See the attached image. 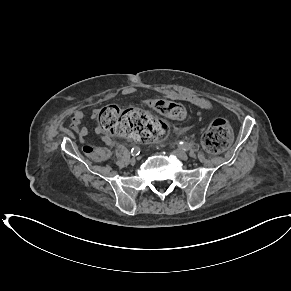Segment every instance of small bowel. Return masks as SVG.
I'll return each instance as SVG.
<instances>
[{"label":"small bowel","instance_id":"obj_1","mask_svg":"<svg viewBox=\"0 0 291 291\" xmlns=\"http://www.w3.org/2000/svg\"><path fill=\"white\" fill-rule=\"evenodd\" d=\"M184 100L200 109L208 111L213 110V104L205 98L198 96H186L184 97ZM85 117L86 114L82 110H76L72 115L70 125L71 129L78 134L79 139L82 143L85 142V139L89 134L88 128L82 126V122L84 121ZM96 132L100 133V130L97 128ZM102 141L107 145L112 144V139L107 135L102 136Z\"/></svg>","mask_w":291,"mask_h":291}]
</instances>
